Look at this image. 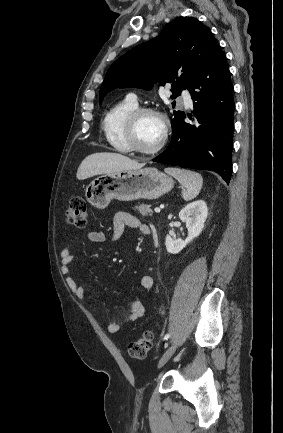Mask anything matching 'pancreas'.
<instances>
[{"mask_svg": "<svg viewBox=\"0 0 283 433\" xmlns=\"http://www.w3.org/2000/svg\"><path fill=\"white\" fill-rule=\"evenodd\" d=\"M152 204H138L136 206L137 210H139V214H141V217H146V214H148V217H152Z\"/></svg>", "mask_w": 283, "mask_h": 433, "instance_id": "cf45deb5", "label": "pancreas"}]
</instances>
